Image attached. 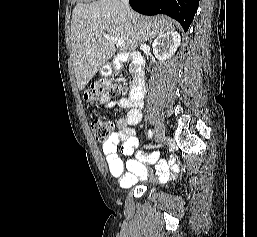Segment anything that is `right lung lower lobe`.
I'll return each instance as SVG.
<instances>
[{
	"mask_svg": "<svg viewBox=\"0 0 257 237\" xmlns=\"http://www.w3.org/2000/svg\"><path fill=\"white\" fill-rule=\"evenodd\" d=\"M131 7L144 15L166 14L186 32L194 19L199 0H130Z\"/></svg>",
	"mask_w": 257,
	"mask_h": 237,
	"instance_id": "1",
	"label": "right lung lower lobe"
}]
</instances>
